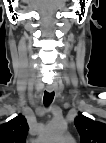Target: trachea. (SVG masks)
I'll return each mask as SVG.
<instances>
[{"mask_svg": "<svg viewBox=\"0 0 106 143\" xmlns=\"http://www.w3.org/2000/svg\"><path fill=\"white\" fill-rule=\"evenodd\" d=\"M53 99H54V92H52V93L45 92L44 93L43 103L45 106H49L52 103Z\"/></svg>", "mask_w": 106, "mask_h": 143, "instance_id": "trachea-1", "label": "trachea"}]
</instances>
